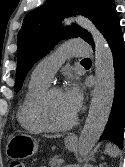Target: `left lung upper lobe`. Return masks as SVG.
Returning <instances> with one entry per match:
<instances>
[{
	"instance_id": "1",
	"label": "left lung upper lobe",
	"mask_w": 125,
	"mask_h": 167,
	"mask_svg": "<svg viewBox=\"0 0 125 167\" xmlns=\"http://www.w3.org/2000/svg\"><path fill=\"white\" fill-rule=\"evenodd\" d=\"M72 14L88 17L104 36L119 18L113 0H46L44 5L29 12L17 39L16 91L31 66L45 56L60 38L81 37L94 45L90 33L76 24L60 28L61 21Z\"/></svg>"
}]
</instances>
